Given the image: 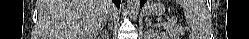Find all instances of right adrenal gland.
Listing matches in <instances>:
<instances>
[{"instance_id": "right-adrenal-gland-1", "label": "right adrenal gland", "mask_w": 249, "mask_h": 39, "mask_svg": "<svg viewBox=\"0 0 249 39\" xmlns=\"http://www.w3.org/2000/svg\"><path fill=\"white\" fill-rule=\"evenodd\" d=\"M106 21L102 24V28H101V30H103V28H104V26L106 25Z\"/></svg>"}]
</instances>
